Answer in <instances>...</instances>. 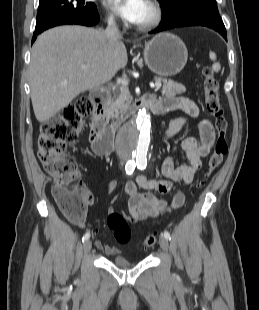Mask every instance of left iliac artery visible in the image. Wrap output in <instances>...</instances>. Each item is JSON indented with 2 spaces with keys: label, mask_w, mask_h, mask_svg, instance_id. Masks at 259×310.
Here are the masks:
<instances>
[{
  "label": "left iliac artery",
  "mask_w": 259,
  "mask_h": 310,
  "mask_svg": "<svg viewBox=\"0 0 259 310\" xmlns=\"http://www.w3.org/2000/svg\"><path fill=\"white\" fill-rule=\"evenodd\" d=\"M147 162L145 163L144 161H139L137 162V167L141 170H144L146 168ZM164 237L167 240L171 239L170 233L168 231H164Z\"/></svg>",
  "instance_id": "left-iliac-artery-1"
}]
</instances>
